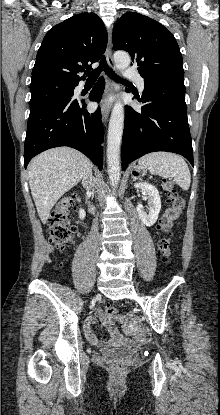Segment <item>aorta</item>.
I'll use <instances>...</instances> for the list:
<instances>
[{
    "instance_id": "762f6f07",
    "label": "aorta",
    "mask_w": 220,
    "mask_h": 415,
    "mask_svg": "<svg viewBox=\"0 0 220 415\" xmlns=\"http://www.w3.org/2000/svg\"><path fill=\"white\" fill-rule=\"evenodd\" d=\"M115 66L119 70L126 69L131 62L128 53L116 51L114 53ZM124 126V106L120 101L114 104L109 122L107 136V165L110 184L116 187L120 180V146Z\"/></svg>"
}]
</instances>
